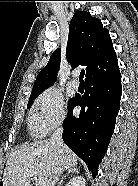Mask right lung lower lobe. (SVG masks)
<instances>
[{"label": "right lung lower lobe", "instance_id": "1", "mask_svg": "<svg viewBox=\"0 0 138 186\" xmlns=\"http://www.w3.org/2000/svg\"><path fill=\"white\" fill-rule=\"evenodd\" d=\"M121 75L86 82L82 97H74L68 104V116L63 123V140L88 166L93 177L98 172L114 132L121 99ZM80 115H73L75 106Z\"/></svg>", "mask_w": 138, "mask_h": 186}]
</instances>
